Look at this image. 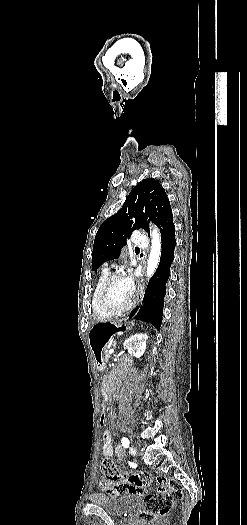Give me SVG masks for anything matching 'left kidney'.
Masks as SVG:
<instances>
[{"label": "left kidney", "instance_id": "obj_1", "mask_svg": "<svg viewBox=\"0 0 247 525\" xmlns=\"http://www.w3.org/2000/svg\"><path fill=\"white\" fill-rule=\"evenodd\" d=\"M147 339L148 337L145 333H136V335H132V337L124 341L123 347H126L130 355H134V357L140 359L145 353Z\"/></svg>", "mask_w": 247, "mask_h": 525}]
</instances>
